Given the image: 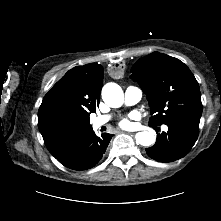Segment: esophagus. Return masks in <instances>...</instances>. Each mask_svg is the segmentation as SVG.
Instances as JSON below:
<instances>
[{"mask_svg": "<svg viewBox=\"0 0 221 221\" xmlns=\"http://www.w3.org/2000/svg\"><path fill=\"white\" fill-rule=\"evenodd\" d=\"M119 132H120V133H123L125 136H126L127 134L134 135V133H130V132L127 133L126 131H125V132H124V131H119Z\"/></svg>", "mask_w": 221, "mask_h": 221, "instance_id": "34e87169", "label": "esophagus"}]
</instances>
